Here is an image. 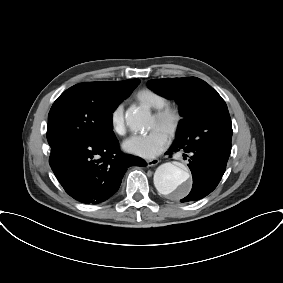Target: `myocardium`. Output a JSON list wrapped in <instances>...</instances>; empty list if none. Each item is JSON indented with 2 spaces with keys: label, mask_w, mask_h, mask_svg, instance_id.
Returning a JSON list of instances; mask_svg holds the SVG:
<instances>
[{
  "label": "myocardium",
  "mask_w": 283,
  "mask_h": 283,
  "mask_svg": "<svg viewBox=\"0 0 283 283\" xmlns=\"http://www.w3.org/2000/svg\"><path fill=\"white\" fill-rule=\"evenodd\" d=\"M153 117L159 122L166 124V134L169 137H174L178 133L183 120L180 110L176 106L170 104L155 109Z\"/></svg>",
  "instance_id": "f54148a6"
}]
</instances>
